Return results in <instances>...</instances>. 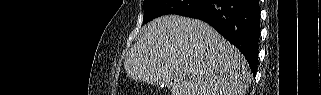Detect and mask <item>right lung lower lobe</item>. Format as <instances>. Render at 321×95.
Instances as JSON below:
<instances>
[{"instance_id":"obj_1","label":"right lung lower lobe","mask_w":321,"mask_h":95,"mask_svg":"<svg viewBox=\"0 0 321 95\" xmlns=\"http://www.w3.org/2000/svg\"><path fill=\"white\" fill-rule=\"evenodd\" d=\"M186 17L201 19L214 27L243 53L255 76L260 36L258 0H207Z\"/></svg>"}]
</instances>
